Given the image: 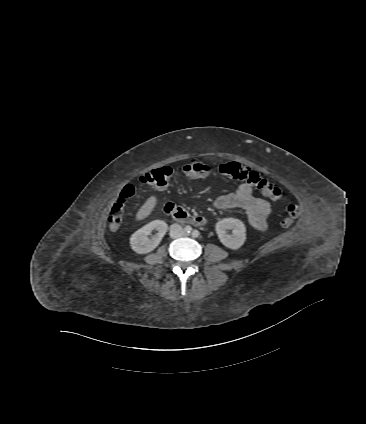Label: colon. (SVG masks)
<instances>
[{
    "label": "colon",
    "instance_id": "colon-1",
    "mask_svg": "<svg viewBox=\"0 0 366 424\" xmlns=\"http://www.w3.org/2000/svg\"><path fill=\"white\" fill-rule=\"evenodd\" d=\"M182 171L191 178H203L209 174V167L198 157L190 158L182 167ZM219 173L227 178L245 181L251 186L258 188L265 196L273 201H280L283 197L281 189L273 182L261 176L258 172L248 169L237 162H227L219 166ZM175 174L172 167H162L146 173L140 177V182L147 186H165ZM134 194L132 186L126 187L114 205L108 216V226L111 230L119 229L125 211L126 199ZM299 207L289 205L286 215L282 219L283 226H290L299 215Z\"/></svg>",
    "mask_w": 366,
    "mask_h": 424
}]
</instances>
